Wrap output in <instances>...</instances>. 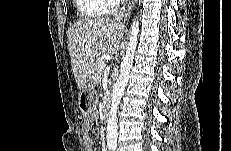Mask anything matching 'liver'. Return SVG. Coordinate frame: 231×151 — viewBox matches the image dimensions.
<instances>
[{
  "label": "liver",
  "mask_w": 231,
  "mask_h": 151,
  "mask_svg": "<svg viewBox=\"0 0 231 151\" xmlns=\"http://www.w3.org/2000/svg\"><path fill=\"white\" fill-rule=\"evenodd\" d=\"M124 28L111 18L85 19L67 31L72 71L82 90L103 54H117L123 41Z\"/></svg>",
  "instance_id": "obj_1"
}]
</instances>
